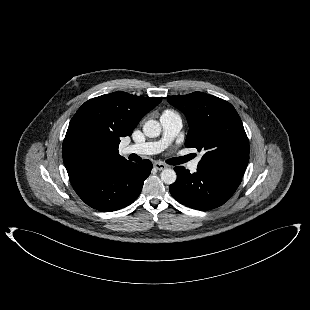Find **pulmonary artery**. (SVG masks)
<instances>
[{"mask_svg": "<svg viewBox=\"0 0 310 310\" xmlns=\"http://www.w3.org/2000/svg\"><path fill=\"white\" fill-rule=\"evenodd\" d=\"M163 129V136L159 141L145 142L141 144L127 145L122 149L123 154L152 155L163 151L167 145L176 137L183 127L181 117L173 112L166 111L160 117ZM200 158H196L188 163L190 171L198 169Z\"/></svg>", "mask_w": 310, "mask_h": 310, "instance_id": "e3ab8cb5", "label": "pulmonary artery"}]
</instances>
